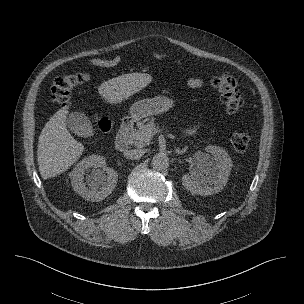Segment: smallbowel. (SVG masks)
<instances>
[{"label": "small bowel", "mask_w": 304, "mask_h": 304, "mask_svg": "<svg viewBox=\"0 0 304 304\" xmlns=\"http://www.w3.org/2000/svg\"><path fill=\"white\" fill-rule=\"evenodd\" d=\"M166 58V55L163 54V53H155L153 54L152 56V59L153 60H162ZM121 61V57L120 56H114V57H111V58H95V59H91L89 61V64L92 65V66H95V67H113V66H116L120 63ZM180 64H182L181 62H179ZM188 85L189 87L191 88H200L202 85H203V81L198 78V77H190L188 79ZM195 131V128H190L188 129V133H193Z\"/></svg>", "instance_id": "obj_1"}]
</instances>
